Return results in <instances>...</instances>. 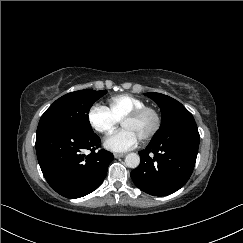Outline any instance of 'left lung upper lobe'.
<instances>
[{"label":"left lung upper lobe","instance_id":"1","mask_svg":"<svg viewBox=\"0 0 243 243\" xmlns=\"http://www.w3.org/2000/svg\"><path fill=\"white\" fill-rule=\"evenodd\" d=\"M145 95L154 100L161 110V127L153 139L163 137L178 127L194 121L192 114L177 100L161 93L150 92Z\"/></svg>","mask_w":243,"mask_h":243}]
</instances>
